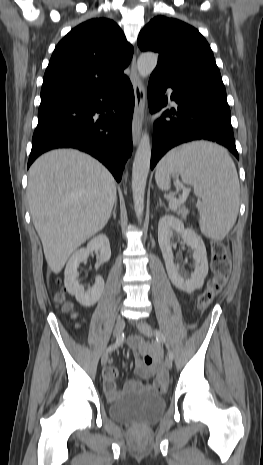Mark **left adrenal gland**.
<instances>
[{
    "label": "left adrenal gland",
    "mask_w": 263,
    "mask_h": 465,
    "mask_svg": "<svg viewBox=\"0 0 263 465\" xmlns=\"http://www.w3.org/2000/svg\"><path fill=\"white\" fill-rule=\"evenodd\" d=\"M158 206H160V207H161V206H164V207H165V209H166V206H165V205L162 203V201H161V199H160V198H159V205H158Z\"/></svg>",
    "instance_id": "a2214340"
}]
</instances>
